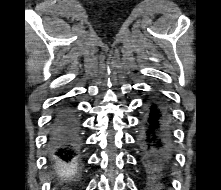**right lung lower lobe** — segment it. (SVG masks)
<instances>
[{
	"instance_id": "1",
	"label": "right lung lower lobe",
	"mask_w": 221,
	"mask_h": 190,
	"mask_svg": "<svg viewBox=\"0 0 221 190\" xmlns=\"http://www.w3.org/2000/svg\"><path fill=\"white\" fill-rule=\"evenodd\" d=\"M49 147L50 159L59 166L69 167L78 161L81 148L78 124L69 106H60L52 120Z\"/></svg>"
}]
</instances>
